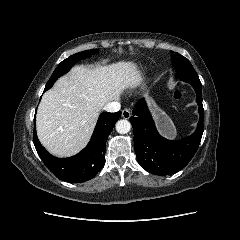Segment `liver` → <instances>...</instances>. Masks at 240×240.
Instances as JSON below:
<instances>
[{
	"instance_id": "liver-1",
	"label": "liver",
	"mask_w": 240,
	"mask_h": 240,
	"mask_svg": "<svg viewBox=\"0 0 240 240\" xmlns=\"http://www.w3.org/2000/svg\"><path fill=\"white\" fill-rule=\"evenodd\" d=\"M141 81L137 66L129 61L75 66L42 97L36 115L41 144L58 157L75 155L89 142L101 109Z\"/></svg>"
}]
</instances>
